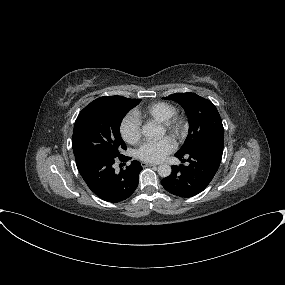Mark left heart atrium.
<instances>
[{"instance_id":"left-heart-atrium-1","label":"left heart atrium","mask_w":285,"mask_h":285,"mask_svg":"<svg viewBox=\"0 0 285 285\" xmlns=\"http://www.w3.org/2000/svg\"><path fill=\"white\" fill-rule=\"evenodd\" d=\"M175 149V144L168 137L157 141H147L136 151V156L142 161L157 163L162 161L166 155Z\"/></svg>"}]
</instances>
